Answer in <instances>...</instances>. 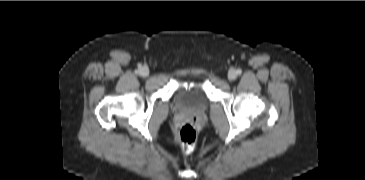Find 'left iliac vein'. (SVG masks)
Masks as SVG:
<instances>
[{
	"instance_id": "obj_1",
	"label": "left iliac vein",
	"mask_w": 365,
	"mask_h": 180,
	"mask_svg": "<svg viewBox=\"0 0 365 180\" xmlns=\"http://www.w3.org/2000/svg\"><path fill=\"white\" fill-rule=\"evenodd\" d=\"M237 78V72L234 70V69H231L229 72H228V79L230 81H233Z\"/></svg>"
}]
</instances>
